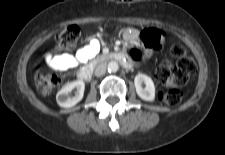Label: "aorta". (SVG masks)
Segmentation results:
<instances>
[{
  "instance_id": "aorta-1",
  "label": "aorta",
  "mask_w": 225,
  "mask_h": 155,
  "mask_svg": "<svg viewBox=\"0 0 225 155\" xmlns=\"http://www.w3.org/2000/svg\"><path fill=\"white\" fill-rule=\"evenodd\" d=\"M107 68L109 72H117L119 69V65L116 61H111L108 63Z\"/></svg>"
}]
</instances>
